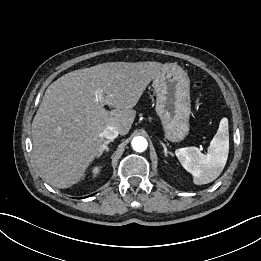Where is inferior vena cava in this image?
Returning <instances> with one entry per match:
<instances>
[{
    "mask_svg": "<svg viewBox=\"0 0 261 261\" xmlns=\"http://www.w3.org/2000/svg\"><path fill=\"white\" fill-rule=\"evenodd\" d=\"M119 134V131L116 127L114 126H107L104 131H103V136L106 138V139H109V140H113L115 139Z\"/></svg>",
    "mask_w": 261,
    "mask_h": 261,
    "instance_id": "602c4592",
    "label": "inferior vena cava"
}]
</instances>
